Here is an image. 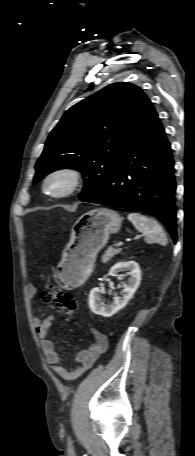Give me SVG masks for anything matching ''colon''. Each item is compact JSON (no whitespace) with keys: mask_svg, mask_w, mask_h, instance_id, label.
Listing matches in <instances>:
<instances>
[{"mask_svg":"<svg viewBox=\"0 0 195 456\" xmlns=\"http://www.w3.org/2000/svg\"><path fill=\"white\" fill-rule=\"evenodd\" d=\"M45 303H55L65 313H73L77 309V302L73 295L61 287L45 290L40 295Z\"/></svg>","mask_w":195,"mask_h":456,"instance_id":"colon-1","label":"colon"}]
</instances>
